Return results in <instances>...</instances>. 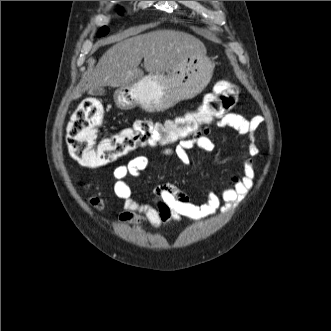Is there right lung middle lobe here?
Returning a JSON list of instances; mask_svg holds the SVG:
<instances>
[{
	"mask_svg": "<svg viewBox=\"0 0 331 331\" xmlns=\"http://www.w3.org/2000/svg\"><path fill=\"white\" fill-rule=\"evenodd\" d=\"M109 32V28L104 26L100 29V31L98 32V36H104Z\"/></svg>",
	"mask_w": 331,
	"mask_h": 331,
	"instance_id": "right-lung-middle-lobe-1",
	"label": "right lung middle lobe"
}]
</instances>
